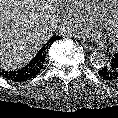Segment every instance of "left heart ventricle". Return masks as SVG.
<instances>
[{
    "instance_id": "obj_1",
    "label": "left heart ventricle",
    "mask_w": 118,
    "mask_h": 118,
    "mask_svg": "<svg viewBox=\"0 0 118 118\" xmlns=\"http://www.w3.org/2000/svg\"><path fill=\"white\" fill-rule=\"evenodd\" d=\"M115 12L108 25L103 26V33L111 39H118V4L115 5Z\"/></svg>"
}]
</instances>
